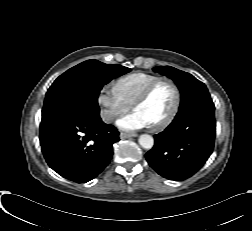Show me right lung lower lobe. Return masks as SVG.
<instances>
[{"instance_id": "1", "label": "right lung lower lobe", "mask_w": 252, "mask_h": 231, "mask_svg": "<svg viewBox=\"0 0 252 231\" xmlns=\"http://www.w3.org/2000/svg\"><path fill=\"white\" fill-rule=\"evenodd\" d=\"M40 144L48 165L77 183L95 178L110 162L119 132L99 113L64 108L42 117Z\"/></svg>"}]
</instances>
